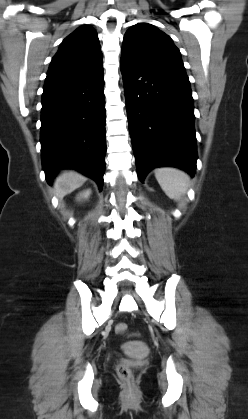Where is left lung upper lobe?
Instances as JSON below:
<instances>
[{"mask_svg":"<svg viewBox=\"0 0 248 419\" xmlns=\"http://www.w3.org/2000/svg\"><path fill=\"white\" fill-rule=\"evenodd\" d=\"M122 57L140 66L188 79L179 49L155 26L139 23L124 35Z\"/></svg>","mask_w":248,"mask_h":419,"instance_id":"left-lung-upper-lobe-1","label":"left lung upper lobe"}]
</instances>
